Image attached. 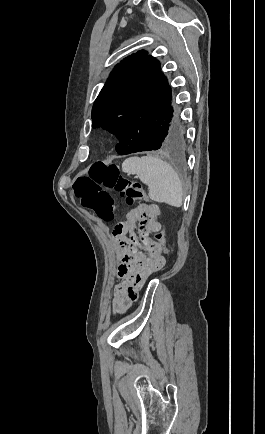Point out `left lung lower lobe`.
<instances>
[{
  "label": "left lung lower lobe",
  "instance_id": "1",
  "mask_svg": "<svg viewBox=\"0 0 265 434\" xmlns=\"http://www.w3.org/2000/svg\"><path fill=\"white\" fill-rule=\"evenodd\" d=\"M187 147L185 131L170 110L166 119L158 126H151L137 135L123 139L116 145L119 155L149 151L157 154L181 153Z\"/></svg>",
  "mask_w": 265,
  "mask_h": 434
}]
</instances>
